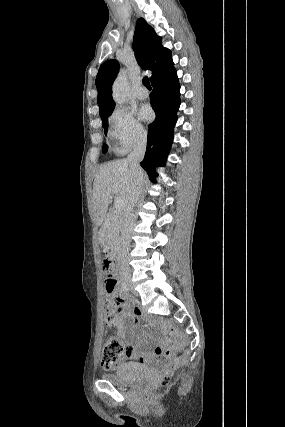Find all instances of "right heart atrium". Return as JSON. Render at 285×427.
<instances>
[{
	"label": "right heart atrium",
	"instance_id": "d8ad5b80",
	"mask_svg": "<svg viewBox=\"0 0 285 427\" xmlns=\"http://www.w3.org/2000/svg\"><path fill=\"white\" fill-rule=\"evenodd\" d=\"M109 121L111 124L109 134L116 143L117 152L125 153L145 141L146 133L143 126L127 108H116Z\"/></svg>",
	"mask_w": 285,
	"mask_h": 427
}]
</instances>
